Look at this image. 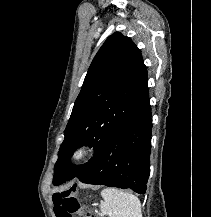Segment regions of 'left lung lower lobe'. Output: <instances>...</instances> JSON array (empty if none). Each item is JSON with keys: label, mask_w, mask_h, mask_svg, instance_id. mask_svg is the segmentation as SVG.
Listing matches in <instances>:
<instances>
[{"label": "left lung lower lobe", "mask_w": 211, "mask_h": 217, "mask_svg": "<svg viewBox=\"0 0 211 217\" xmlns=\"http://www.w3.org/2000/svg\"><path fill=\"white\" fill-rule=\"evenodd\" d=\"M152 118L149 99L116 127L93 160L76 176L81 182L146 191L150 175Z\"/></svg>", "instance_id": "0a47b994"}]
</instances>
